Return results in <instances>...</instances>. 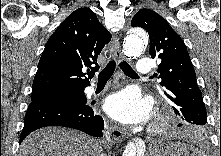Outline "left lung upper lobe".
Wrapping results in <instances>:
<instances>
[{
	"label": "left lung upper lobe",
	"mask_w": 221,
	"mask_h": 156,
	"mask_svg": "<svg viewBox=\"0 0 221 156\" xmlns=\"http://www.w3.org/2000/svg\"><path fill=\"white\" fill-rule=\"evenodd\" d=\"M131 24L149 34L150 55L161 59L156 75L162 80L160 84L176 115L186 123L205 125L206 108L183 40L163 17L150 9L139 10Z\"/></svg>",
	"instance_id": "5c2ea615"
}]
</instances>
